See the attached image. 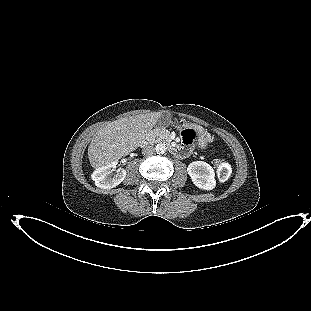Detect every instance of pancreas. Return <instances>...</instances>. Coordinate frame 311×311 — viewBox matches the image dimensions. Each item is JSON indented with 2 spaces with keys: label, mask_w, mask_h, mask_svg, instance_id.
Returning <instances> with one entry per match:
<instances>
[{
  "label": "pancreas",
  "mask_w": 311,
  "mask_h": 311,
  "mask_svg": "<svg viewBox=\"0 0 311 311\" xmlns=\"http://www.w3.org/2000/svg\"><path fill=\"white\" fill-rule=\"evenodd\" d=\"M159 140H165L167 142L170 141V132L165 129H161L157 132Z\"/></svg>",
  "instance_id": "pancreas-1"
}]
</instances>
